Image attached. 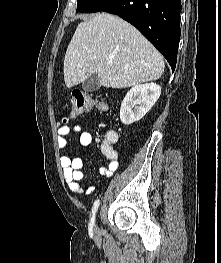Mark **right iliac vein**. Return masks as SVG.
I'll list each match as a JSON object with an SVG mask.
<instances>
[{
    "mask_svg": "<svg viewBox=\"0 0 221 263\" xmlns=\"http://www.w3.org/2000/svg\"><path fill=\"white\" fill-rule=\"evenodd\" d=\"M94 232H95V233L98 232V228H97V226H95V228H94Z\"/></svg>",
    "mask_w": 221,
    "mask_h": 263,
    "instance_id": "right-iliac-vein-1",
    "label": "right iliac vein"
}]
</instances>
